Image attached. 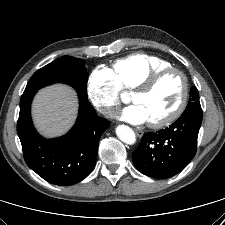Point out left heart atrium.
Segmentation results:
<instances>
[{
	"instance_id": "1",
	"label": "left heart atrium",
	"mask_w": 225,
	"mask_h": 225,
	"mask_svg": "<svg viewBox=\"0 0 225 225\" xmlns=\"http://www.w3.org/2000/svg\"><path fill=\"white\" fill-rule=\"evenodd\" d=\"M120 116L124 121L132 124L148 122V117L144 109L135 103L124 108Z\"/></svg>"
}]
</instances>
